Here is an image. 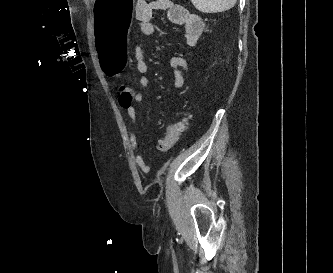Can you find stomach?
<instances>
[{"mask_svg": "<svg viewBox=\"0 0 333 273\" xmlns=\"http://www.w3.org/2000/svg\"><path fill=\"white\" fill-rule=\"evenodd\" d=\"M134 0H94L95 38H128L133 32ZM95 56L101 65V75H124L130 65L128 39H95Z\"/></svg>", "mask_w": 333, "mask_h": 273, "instance_id": "0dacf381", "label": "stomach"}]
</instances>
